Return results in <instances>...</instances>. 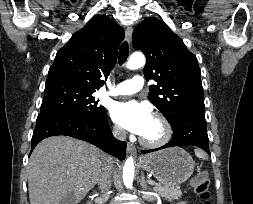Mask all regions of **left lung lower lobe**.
I'll use <instances>...</instances> for the list:
<instances>
[{
  "mask_svg": "<svg viewBox=\"0 0 253 204\" xmlns=\"http://www.w3.org/2000/svg\"><path fill=\"white\" fill-rule=\"evenodd\" d=\"M204 111L205 108L197 107L181 113L171 124L173 129L171 141L156 149L143 150L142 153L173 146L193 145L203 149L210 155Z\"/></svg>",
  "mask_w": 253,
  "mask_h": 204,
  "instance_id": "0a47b994",
  "label": "left lung lower lobe"
}]
</instances>
